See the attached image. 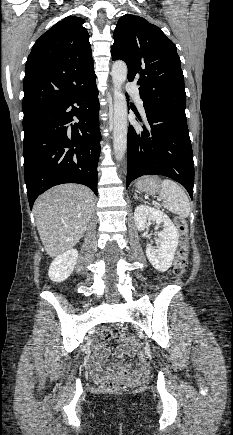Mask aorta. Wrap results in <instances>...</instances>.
<instances>
[{
  "mask_svg": "<svg viewBox=\"0 0 233 435\" xmlns=\"http://www.w3.org/2000/svg\"><path fill=\"white\" fill-rule=\"evenodd\" d=\"M127 65L116 61L112 66V81L114 87V132L113 148L117 161H121L127 149V101L122 91L127 78Z\"/></svg>",
  "mask_w": 233,
  "mask_h": 435,
  "instance_id": "aorta-1",
  "label": "aorta"
}]
</instances>
